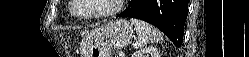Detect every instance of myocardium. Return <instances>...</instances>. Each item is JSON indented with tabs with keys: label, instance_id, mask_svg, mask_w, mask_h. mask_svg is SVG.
I'll return each mask as SVG.
<instances>
[{
	"label": "myocardium",
	"instance_id": "obj_1",
	"mask_svg": "<svg viewBox=\"0 0 249 57\" xmlns=\"http://www.w3.org/2000/svg\"><path fill=\"white\" fill-rule=\"evenodd\" d=\"M124 2L125 0H115L114 6L107 11L81 16L76 13V8L79 5V0H72L70 10H71V14L79 20H93V19L109 17V16L117 14L122 9Z\"/></svg>",
	"mask_w": 249,
	"mask_h": 57
}]
</instances>
